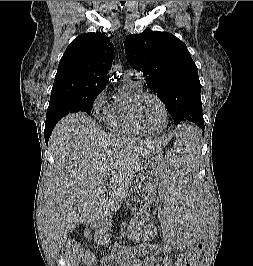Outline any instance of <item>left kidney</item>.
Wrapping results in <instances>:
<instances>
[{
    "label": "left kidney",
    "instance_id": "obj_1",
    "mask_svg": "<svg viewBox=\"0 0 253 266\" xmlns=\"http://www.w3.org/2000/svg\"><path fill=\"white\" fill-rule=\"evenodd\" d=\"M148 228L149 229L147 231H145V233L147 235V238L148 237H152L153 238L157 234V231H156V229L154 228V226L152 224H150L148 226Z\"/></svg>",
    "mask_w": 253,
    "mask_h": 266
}]
</instances>
